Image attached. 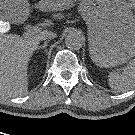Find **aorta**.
I'll return each instance as SVG.
<instances>
[{"instance_id": "obj_1", "label": "aorta", "mask_w": 135, "mask_h": 135, "mask_svg": "<svg viewBox=\"0 0 135 135\" xmlns=\"http://www.w3.org/2000/svg\"><path fill=\"white\" fill-rule=\"evenodd\" d=\"M85 41L84 35L80 30H71L65 37V44L71 49H80Z\"/></svg>"}]
</instances>
